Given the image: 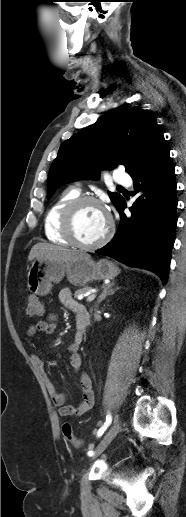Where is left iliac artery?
Wrapping results in <instances>:
<instances>
[{
  "label": "left iliac artery",
  "mask_w": 186,
  "mask_h": 517,
  "mask_svg": "<svg viewBox=\"0 0 186 517\" xmlns=\"http://www.w3.org/2000/svg\"><path fill=\"white\" fill-rule=\"evenodd\" d=\"M111 422H112V416H111L110 413H108L107 416H106V421H105L104 425L97 432V437H101L102 436V434L107 429V427L111 424ZM87 455L88 456H93L94 455V451L93 450L88 451Z\"/></svg>",
  "instance_id": "44dca946"
}]
</instances>
